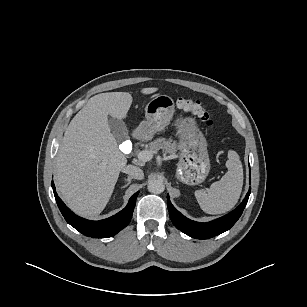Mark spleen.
<instances>
[{"mask_svg":"<svg viewBox=\"0 0 307 307\" xmlns=\"http://www.w3.org/2000/svg\"><path fill=\"white\" fill-rule=\"evenodd\" d=\"M227 173L211 184L207 191H195L201 209L208 214H222L231 210L240 197L243 186V168L239 155L230 150L226 161Z\"/></svg>","mask_w":307,"mask_h":307,"instance_id":"obj_1","label":"spleen"}]
</instances>
